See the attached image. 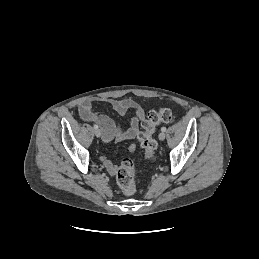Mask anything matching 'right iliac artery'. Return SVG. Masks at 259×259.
Here are the masks:
<instances>
[{
	"mask_svg": "<svg viewBox=\"0 0 259 259\" xmlns=\"http://www.w3.org/2000/svg\"><path fill=\"white\" fill-rule=\"evenodd\" d=\"M93 128H94L95 130L98 129V125L94 124V125H93Z\"/></svg>",
	"mask_w": 259,
	"mask_h": 259,
	"instance_id": "1",
	"label": "right iliac artery"
}]
</instances>
